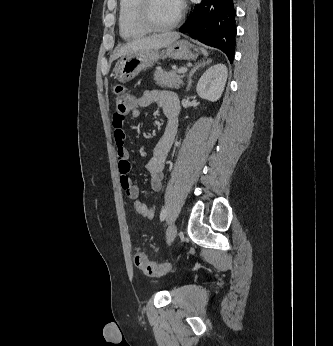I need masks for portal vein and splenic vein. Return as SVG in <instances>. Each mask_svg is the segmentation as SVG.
Instances as JSON below:
<instances>
[{"instance_id": "obj_1", "label": "portal vein and splenic vein", "mask_w": 333, "mask_h": 346, "mask_svg": "<svg viewBox=\"0 0 333 346\" xmlns=\"http://www.w3.org/2000/svg\"><path fill=\"white\" fill-rule=\"evenodd\" d=\"M187 72V68L186 67H182L178 70V73H186Z\"/></svg>"}]
</instances>
